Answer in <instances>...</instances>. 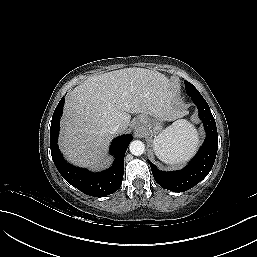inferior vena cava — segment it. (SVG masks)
<instances>
[{"label": "inferior vena cava", "mask_w": 257, "mask_h": 257, "mask_svg": "<svg viewBox=\"0 0 257 257\" xmlns=\"http://www.w3.org/2000/svg\"><path fill=\"white\" fill-rule=\"evenodd\" d=\"M119 130H120V125L119 124H113L109 128V131H110L111 134H115V133L119 132Z\"/></svg>", "instance_id": "602c4592"}]
</instances>
